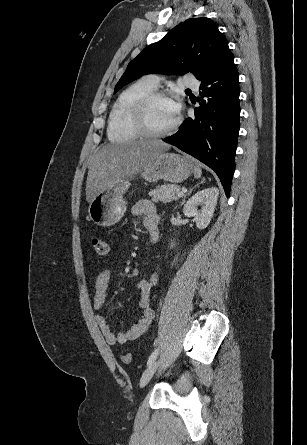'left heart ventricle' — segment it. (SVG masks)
<instances>
[{"instance_id": "obj_1", "label": "left heart ventricle", "mask_w": 307, "mask_h": 445, "mask_svg": "<svg viewBox=\"0 0 307 445\" xmlns=\"http://www.w3.org/2000/svg\"><path fill=\"white\" fill-rule=\"evenodd\" d=\"M149 126L154 131H164L169 128L175 120L167 100L158 99L151 103L147 112Z\"/></svg>"}]
</instances>
